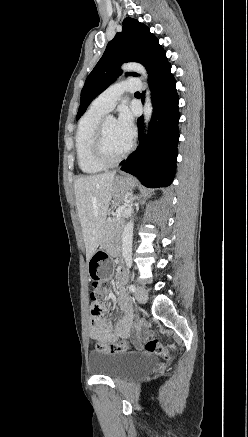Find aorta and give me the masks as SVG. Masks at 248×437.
<instances>
[{
	"mask_svg": "<svg viewBox=\"0 0 248 437\" xmlns=\"http://www.w3.org/2000/svg\"><path fill=\"white\" fill-rule=\"evenodd\" d=\"M122 70L125 72H137L141 74L145 80H147V72L141 64L126 63L122 66ZM152 112H153V107L150 99V91L147 90L144 107H143L144 122L146 125V129L148 128V123L151 119ZM133 229H134V223L133 220L130 219L128 223L125 225L122 233V256L125 260L131 259L132 256Z\"/></svg>",
	"mask_w": 248,
	"mask_h": 437,
	"instance_id": "aorta-1",
	"label": "aorta"
}]
</instances>
